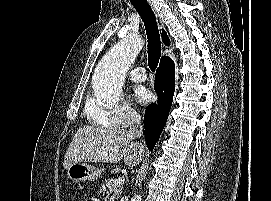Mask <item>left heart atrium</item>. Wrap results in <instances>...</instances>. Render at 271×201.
Wrapping results in <instances>:
<instances>
[{"label":"left heart atrium","mask_w":271,"mask_h":201,"mask_svg":"<svg viewBox=\"0 0 271 201\" xmlns=\"http://www.w3.org/2000/svg\"><path fill=\"white\" fill-rule=\"evenodd\" d=\"M134 96L140 104H148L153 100L152 92L144 86L136 87Z\"/></svg>","instance_id":"left-heart-atrium-1"}]
</instances>
